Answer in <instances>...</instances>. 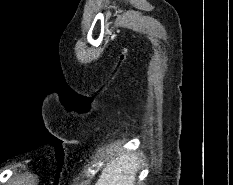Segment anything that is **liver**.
Instances as JSON below:
<instances>
[{
  "mask_svg": "<svg viewBox=\"0 0 233 185\" xmlns=\"http://www.w3.org/2000/svg\"><path fill=\"white\" fill-rule=\"evenodd\" d=\"M141 161L134 153H120L103 168L95 185H135Z\"/></svg>",
  "mask_w": 233,
  "mask_h": 185,
  "instance_id": "obj_1",
  "label": "liver"
}]
</instances>
